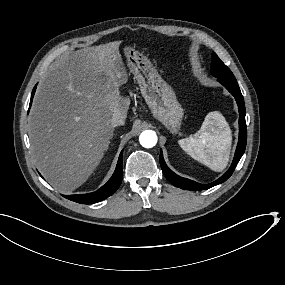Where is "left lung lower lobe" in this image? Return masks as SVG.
<instances>
[{
  "mask_svg": "<svg viewBox=\"0 0 285 285\" xmlns=\"http://www.w3.org/2000/svg\"><path fill=\"white\" fill-rule=\"evenodd\" d=\"M218 81L221 84H223L228 89V91L235 97L237 104H238V107H239V114H240V117H239V141H238V145H237V149H236V153H235L232 165L229 168V170L223 176H221L219 179H217L216 181L209 183V184H200V183H197L195 181L180 177L177 174H175L173 171H171L167 167V165L164 161V158H163L162 151H161L159 159H160V166H161V169L163 171V174L165 175L167 180L176 187L186 189V190L197 191V190L209 189L213 186L221 184L224 181H226L232 175V173L235 170V167L237 166L242 155L244 154L246 142H247V130H246V122H245V113L246 112H245V105H244L243 96L241 94V91H240V88L238 86L236 79H232V80H220V79H218Z\"/></svg>",
  "mask_w": 285,
  "mask_h": 285,
  "instance_id": "1",
  "label": "left lung lower lobe"
}]
</instances>
